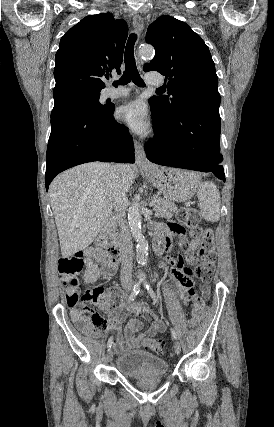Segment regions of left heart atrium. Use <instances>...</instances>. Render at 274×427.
Here are the masks:
<instances>
[{"instance_id":"left-heart-atrium-1","label":"left heart atrium","mask_w":274,"mask_h":427,"mask_svg":"<svg viewBox=\"0 0 274 427\" xmlns=\"http://www.w3.org/2000/svg\"><path fill=\"white\" fill-rule=\"evenodd\" d=\"M117 118L136 133H141L148 127L147 113L140 102L120 106L117 109Z\"/></svg>"}]
</instances>
